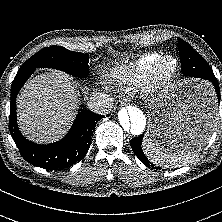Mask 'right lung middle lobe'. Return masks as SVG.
<instances>
[{
	"instance_id": "obj_1",
	"label": "right lung middle lobe",
	"mask_w": 222,
	"mask_h": 222,
	"mask_svg": "<svg viewBox=\"0 0 222 222\" xmlns=\"http://www.w3.org/2000/svg\"><path fill=\"white\" fill-rule=\"evenodd\" d=\"M88 62V54L69 51L61 46H51L30 57L20 69L54 68L75 77L86 78L89 75Z\"/></svg>"
}]
</instances>
